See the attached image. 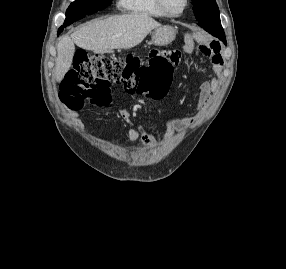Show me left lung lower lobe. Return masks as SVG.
I'll return each instance as SVG.
<instances>
[{
	"label": "left lung lower lobe",
	"instance_id": "left-lung-lower-lobe-1",
	"mask_svg": "<svg viewBox=\"0 0 286 269\" xmlns=\"http://www.w3.org/2000/svg\"><path fill=\"white\" fill-rule=\"evenodd\" d=\"M222 41L226 44V39H223Z\"/></svg>",
	"mask_w": 286,
	"mask_h": 269
}]
</instances>
